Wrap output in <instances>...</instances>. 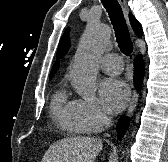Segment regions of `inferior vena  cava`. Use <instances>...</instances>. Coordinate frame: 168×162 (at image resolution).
<instances>
[{"instance_id":"602c4592","label":"inferior vena cava","mask_w":168,"mask_h":162,"mask_svg":"<svg viewBox=\"0 0 168 162\" xmlns=\"http://www.w3.org/2000/svg\"><path fill=\"white\" fill-rule=\"evenodd\" d=\"M105 123H106V125H110L111 124V119L110 118H106L105 119Z\"/></svg>"}]
</instances>
